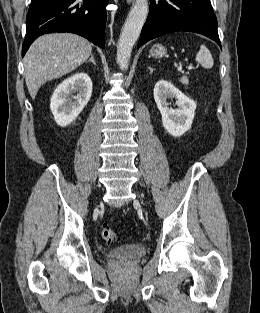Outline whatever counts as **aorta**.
<instances>
[{"mask_svg":"<svg viewBox=\"0 0 260 313\" xmlns=\"http://www.w3.org/2000/svg\"><path fill=\"white\" fill-rule=\"evenodd\" d=\"M148 15V0H135L117 44V62L121 70L129 65L131 52Z\"/></svg>","mask_w":260,"mask_h":313,"instance_id":"obj_1","label":"aorta"}]
</instances>
